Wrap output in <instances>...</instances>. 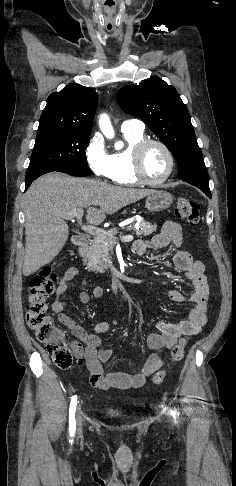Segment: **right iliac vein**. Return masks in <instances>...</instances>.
<instances>
[{"label":"right iliac vein","instance_id":"obj_1","mask_svg":"<svg viewBox=\"0 0 236 486\" xmlns=\"http://www.w3.org/2000/svg\"><path fill=\"white\" fill-rule=\"evenodd\" d=\"M77 423H78V430H79V432H81V428H82V418L79 415H77Z\"/></svg>","mask_w":236,"mask_h":486}]
</instances>
